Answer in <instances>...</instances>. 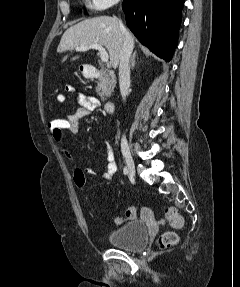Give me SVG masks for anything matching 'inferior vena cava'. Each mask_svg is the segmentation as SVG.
<instances>
[{
    "label": "inferior vena cava",
    "instance_id": "obj_1",
    "mask_svg": "<svg viewBox=\"0 0 240 287\" xmlns=\"http://www.w3.org/2000/svg\"><path fill=\"white\" fill-rule=\"evenodd\" d=\"M120 29L123 36V44L120 52L119 60V86L120 92L123 100L126 99L128 95V89L130 87V56L133 51V40L123 25L122 21L119 20ZM121 147L123 149H128V143L125 136L122 137Z\"/></svg>",
    "mask_w": 240,
    "mask_h": 287
}]
</instances>
